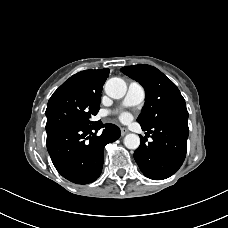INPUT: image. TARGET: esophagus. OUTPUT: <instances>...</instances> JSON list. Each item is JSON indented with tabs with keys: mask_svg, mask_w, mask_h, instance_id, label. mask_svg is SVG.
<instances>
[{
	"mask_svg": "<svg viewBox=\"0 0 228 228\" xmlns=\"http://www.w3.org/2000/svg\"><path fill=\"white\" fill-rule=\"evenodd\" d=\"M128 132H129V131H128L127 128H124V127L121 128V135H122V136L126 135Z\"/></svg>",
	"mask_w": 228,
	"mask_h": 228,
	"instance_id": "obj_1",
	"label": "esophagus"
}]
</instances>
